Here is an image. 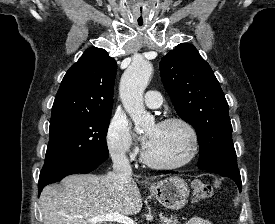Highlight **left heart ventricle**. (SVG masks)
Instances as JSON below:
<instances>
[{
    "instance_id": "1",
    "label": "left heart ventricle",
    "mask_w": 275,
    "mask_h": 224,
    "mask_svg": "<svg viewBox=\"0 0 275 224\" xmlns=\"http://www.w3.org/2000/svg\"><path fill=\"white\" fill-rule=\"evenodd\" d=\"M150 155L163 163H177L185 159L191 149L188 131L180 124L152 125L147 130Z\"/></svg>"
}]
</instances>
